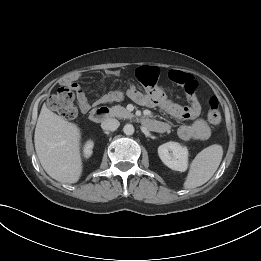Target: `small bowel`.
I'll return each mask as SVG.
<instances>
[{
    "instance_id": "1",
    "label": "small bowel",
    "mask_w": 261,
    "mask_h": 261,
    "mask_svg": "<svg viewBox=\"0 0 261 261\" xmlns=\"http://www.w3.org/2000/svg\"><path fill=\"white\" fill-rule=\"evenodd\" d=\"M105 74L106 76H117L119 75V71L107 70ZM158 76L159 70L153 66H144L137 70L138 79L146 85H154ZM168 77L173 82L184 87L189 103L188 106H181L172 102L166 97L164 92L158 88L144 93L134 85L130 86L125 92L120 89L108 91L99 98L98 102H119L123 100L125 96H128L130 99L141 105L151 107L157 106L163 113L176 121H179L181 124L178 127V135L182 140L202 141L208 139L211 130L207 122L200 117L202 108L196 95L198 85L193 75L183 71L171 70L168 73ZM64 83L69 85L76 92V98L80 109L83 112H87L91 106L85 91L76 82V78L66 80ZM160 123L164 126V129L160 132L166 131L168 125L164 122Z\"/></svg>"
}]
</instances>
